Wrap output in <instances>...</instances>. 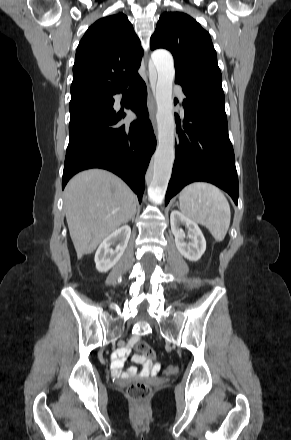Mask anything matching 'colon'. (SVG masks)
<instances>
[{
  "label": "colon",
  "instance_id": "1",
  "mask_svg": "<svg viewBox=\"0 0 291 440\" xmlns=\"http://www.w3.org/2000/svg\"><path fill=\"white\" fill-rule=\"evenodd\" d=\"M135 358L154 357L155 352L149 347L146 341H139L135 346ZM151 394L150 387L142 382L137 381L131 383L127 388V397L136 407L145 405Z\"/></svg>",
  "mask_w": 291,
  "mask_h": 440
}]
</instances>
